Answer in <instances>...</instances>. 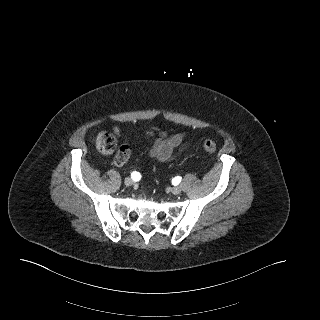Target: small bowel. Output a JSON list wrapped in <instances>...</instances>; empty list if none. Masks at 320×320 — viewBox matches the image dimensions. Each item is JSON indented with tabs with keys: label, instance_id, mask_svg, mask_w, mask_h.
Returning a JSON list of instances; mask_svg holds the SVG:
<instances>
[{
	"label": "small bowel",
	"instance_id": "obj_1",
	"mask_svg": "<svg viewBox=\"0 0 320 320\" xmlns=\"http://www.w3.org/2000/svg\"><path fill=\"white\" fill-rule=\"evenodd\" d=\"M157 130L155 128H151L146 131L147 136H153ZM113 133L120 137L121 129L117 126L113 128ZM186 134L177 132V133H169V132H161L159 137L154 141L150 151L149 157L151 159L168 162L175 159L178 155L183 153L188 148V143L185 141ZM124 149L127 150L130 155V150L128 146H123Z\"/></svg>",
	"mask_w": 320,
	"mask_h": 320
}]
</instances>
